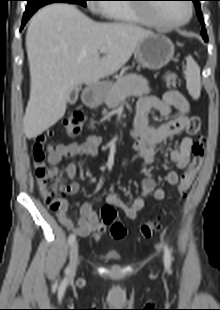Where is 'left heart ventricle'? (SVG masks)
Segmentation results:
<instances>
[{
  "label": "left heart ventricle",
  "instance_id": "b2bd125f",
  "mask_svg": "<svg viewBox=\"0 0 220 310\" xmlns=\"http://www.w3.org/2000/svg\"><path fill=\"white\" fill-rule=\"evenodd\" d=\"M153 12L160 19L167 22H178L183 20L187 14V6L185 3H168L158 5Z\"/></svg>",
  "mask_w": 220,
  "mask_h": 310
}]
</instances>
